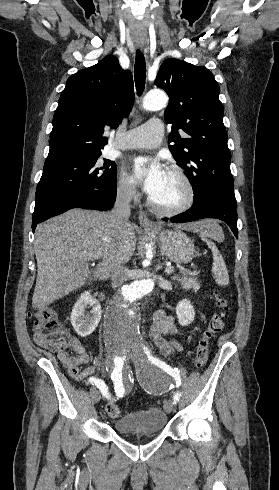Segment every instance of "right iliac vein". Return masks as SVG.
Masks as SVG:
<instances>
[{"label":"right iliac vein","mask_w":279,"mask_h":490,"mask_svg":"<svg viewBox=\"0 0 279 490\" xmlns=\"http://www.w3.org/2000/svg\"><path fill=\"white\" fill-rule=\"evenodd\" d=\"M91 394L93 396V400L95 403L99 402V399H100V396H99V392L96 390V389H93L91 391Z\"/></svg>","instance_id":"obj_1"}]
</instances>
